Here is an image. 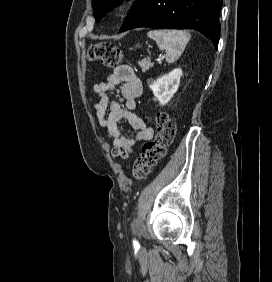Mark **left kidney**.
I'll list each match as a JSON object with an SVG mask.
<instances>
[{"instance_id": "1", "label": "left kidney", "mask_w": 272, "mask_h": 282, "mask_svg": "<svg viewBox=\"0 0 272 282\" xmlns=\"http://www.w3.org/2000/svg\"><path fill=\"white\" fill-rule=\"evenodd\" d=\"M182 75V70L176 68L156 81L148 80V85L153 91L155 100H158L160 105L167 104L177 92Z\"/></svg>"}]
</instances>
